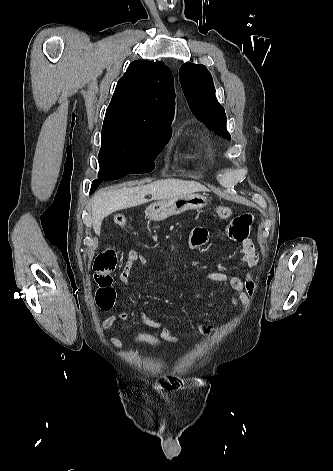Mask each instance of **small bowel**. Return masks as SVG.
<instances>
[{"instance_id": "small-bowel-1", "label": "small bowel", "mask_w": 333, "mask_h": 471, "mask_svg": "<svg viewBox=\"0 0 333 471\" xmlns=\"http://www.w3.org/2000/svg\"><path fill=\"white\" fill-rule=\"evenodd\" d=\"M251 214H242L233 218L227 226V234L230 239L235 240L241 245V266L245 269H251L259 261V255L253 244V241L249 237L250 225L252 223ZM209 233L204 227H196L191 234L190 244L192 247H199L207 243ZM135 264L144 265L146 264V258L139 254L135 250L129 251L126 257L125 267L119 274V280L126 284L128 283L130 273ZM203 278L207 281L216 283L227 284L232 293L230 294V304L232 306L242 305L248 308L251 304V299L256 292V283L252 277V273L248 271L245 278L242 279L236 275H231L222 271H213L204 274ZM129 317L127 312H120L115 315L112 314L104 319L102 322L103 330L110 329L118 320L125 321ZM141 322L153 329H160V336L165 342L177 343L180 338L175 335L170 328H162L161 324L152 320L147 314L141 315ZM197 331L205 336H209L214 333L215 328L208 324H198ZM109 342L116 349H121L123 343L116 337H109Z\"/></svg>"}]
</instances>
